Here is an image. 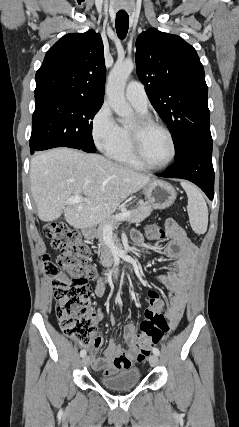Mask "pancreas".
Returning <instances> with one entry per match:
<instances>
[{
	"label": "pancreas",
	"instance_id": "obj_1",
	"mask_svg": "<svg viewBox=\"0 0 239 427\" xmlns=\"http://www.w3.org/2000/svg\"><path fill=\"white\" fill-rule=\"evenodd\" d=\"M152 206L148 202H139V207L131 211V215L127 217L126 221L130 223H139L147 218L152 212ZM118 220H115V216L110 217L106 221L102 222L96 230V238L99 240V254L101 264L104 266H111L113 264V256L108 246L104 241V228L106 225H110L111 229H115L118 225Z\"/></svg>",
	"mask_w": 239,
	"mask_h": 427
}]
</instances>
